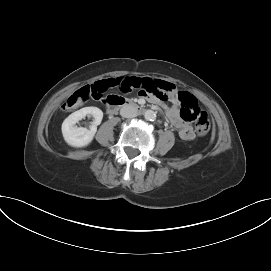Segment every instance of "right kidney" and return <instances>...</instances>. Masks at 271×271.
<instances>
[{
    "label": "right kidney",
    "mask_w": 271,
    "mask_h": 271,
    "mask_svg": "<svg viewBox=\"0 0 271 271\" xmlns=\"http://www.w3.org/2000/svg\"><path fill=\"white\" fill-rule=\"evenodd\" d=\"M86 116H93L94 120L90 129L77 127L76 123ZM103 112L97 107H84L70 114L62 124V134L68 145L73 147H84L90 144L101 124Z\"/></svg>",
    "instance_id": "obj_1"
}]
</instances>
